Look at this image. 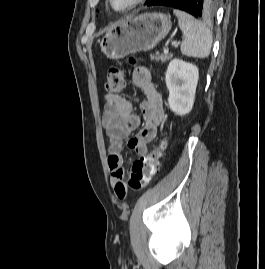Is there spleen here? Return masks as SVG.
<instances>
[{"label": "spleen", "mask_w": 265, "mask_h": 269, "mask_svg": "<svg viewBox=\"0 0 265 269\" xmlns=\"http://www.w3.org/2000/svg\"><path fill=\"white\" fill-rule=\"evenodd\" d=\"M173 13L178 18V24L183 33L180 46L182 54L195 58L208 57L212 47L211 30L184 11L174 9Z\"/></svg>", "instance_id": "obj_1"}]
</instances>
